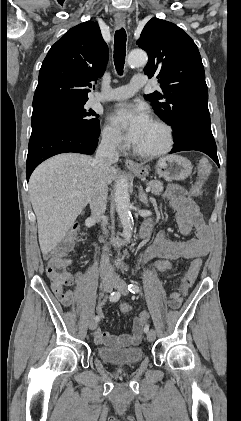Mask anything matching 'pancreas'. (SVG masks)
<instances>
[{"label":"pancreas","mask_w":241,"mask_h":421,"mask_svg":"<svg viewBox=\"0 0 241 421\" xmlns=\"http://www.w3.org/2000/svg\"><path fill=\"white\" fill-rule=\"evenodd\" d=\"M146 184H147L148 187L151 188V193L154 194V195L159 196L164 190L162 182H160L158 180H151V181L147 182Z\"/></svg>","instance_id":"obj_1"}]
</instances>
